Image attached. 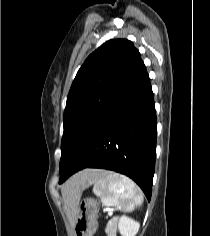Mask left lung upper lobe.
Wrapping results in <instances>:
<instances>
[{"label": "left lung upper lobe", "mask_w": 210, "mask_h": 236, "mask_svg": "<svg viewBox=\"0 0 210 236\" xmlns=\"http://www.w3.org/2000/svg\"><path fill=\"white\" fill-rule=\"evenodd\" d=\"M145 69L139 51L126 39L107 41L86 59L67 97L59 172L92 122Z\"/></svg>", "instance_id": "1"}]
</instances>
